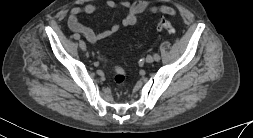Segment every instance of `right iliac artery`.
<instances>
[{
  "label": "right iliac artery",
  "instance_id": "obj_1",
  "mask_svg": "<svg viewBox=\"0 0 253 138\" xmlns=\"http://www.w3.org/2000/svg\"><path fill=\"white\" fill-rule=\"evenodd\" d=\"M74 38L78 40V39H80V35L79 34H74Z\"/></svg>",
  "mask_w": 253,
  "mask_h": 138
}]
</instances>
